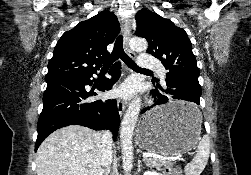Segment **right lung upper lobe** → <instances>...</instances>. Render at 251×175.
I'll list each match as a JSON object with an SVG mask.
<instances>
[{
  "mask_svg": "<svg viewBox=\"0 0 251 175\" xmlns=\"http://www.w3.org/2000/svg\"><path fill=\"white\" fill-rule=\"evenodd\" d=\"M119 31L118 19L109 11H102L66 31L54 48L45 80L96 73L103 60L109 56L107 45L113 43Z\"/></svg>",
  "mask_w": 251,
  "mask_h": 175,
  "instance_id": "right-lung-upper-lobe-1",
  "label": "right lung upper lobe"
}]
</instances>
